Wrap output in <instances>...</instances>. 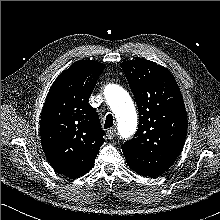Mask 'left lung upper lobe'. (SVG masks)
Segmentation results:
<instances>
[{
  "label": "left lung upper lobe",
  "mask_w": 220,
  "mask_h": 220,
  "mask_svg": "<svg viewBox=\"0 0 220 220\" xmlns=\"http://www.w3.org/2000/svg\"><path fill=\"white\" fill-rule=\"evenodd\" d=\"M139 110L135 137L122 145L129 167L156 177L167 171L182 151L187 114L173 75L155 62L137 59L121 63Z\"/></svg>",
  "instance_id": "left-lung-upper-lobe-1"
}]
</instances>
